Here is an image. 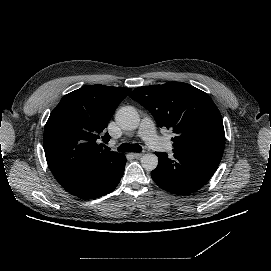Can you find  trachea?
Here are the masks:
<instances>
[{
    "instance_id": "3493384b",
    "label": "trachea",
    "mask_w": 271,
    "mask_h": 271,
    "mask_svg": "<svg viewBox=\"0 0 271 271\" xmlns=\"http://www.w3.org/2000/svg\"><path fill=\"white\" fill-rule=\"evenodd\" d=\"M117 151L119 152H141L142 147L139 144H128V143H123L119 147H117Z\"/></svg>"
}]
</instances>
